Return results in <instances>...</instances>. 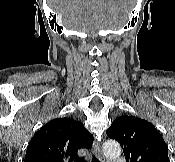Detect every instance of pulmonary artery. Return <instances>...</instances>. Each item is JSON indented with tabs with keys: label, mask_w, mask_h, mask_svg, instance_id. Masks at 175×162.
Masks as SVG:
<instances>
[{
	"label": "pulmonary artery",
	"mask_w": 175,
	"mask_h": 162,
	"mask_svg": "<svg viewBox=\"0 0 175 162\" xmlns=\"http://www.w3.org/2000/svg\"><path fill=\"white\" fill-rule=\"evenodd\" d=\"M113 162H125L123 159H116V160H113Z\"/></svg>",
	"instance_id": "1"
}]
</instances>
